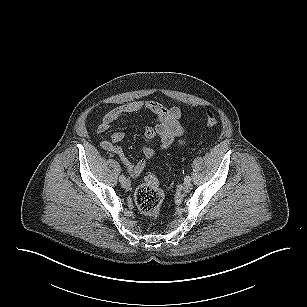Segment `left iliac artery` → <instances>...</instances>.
Here are the masks:
<instances>
[{
	"label": "left iliac artery",
	"mask_w": 307,
	"mask_h": 307,
	"mask_svg": "<svg viewBox=\"0 0 307 307\" xmlns=\"http://www.w3.org/2000/svg\"><path fill=\"white\" fill-rule=\"evenodd\" d=\"M184 180L187 182H189V181H191V178H190V176H186L185 178H184Z\"/></svg>",
	"instance_id": "44dca946"
}]
</instances>
